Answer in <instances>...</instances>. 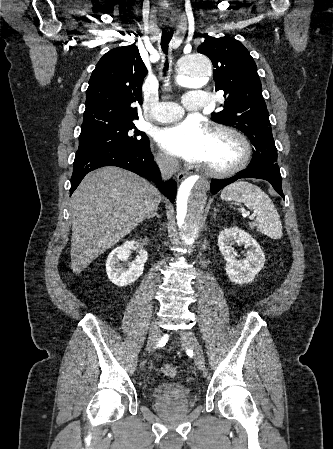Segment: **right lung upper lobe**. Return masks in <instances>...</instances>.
I'll return each mask as SVG.
<instances>
[{"mask_svg": "<svg viewBox=\"0 0 333 449\" xmlns=\"http://www.w3.org/2000/svg\"><path fill=\"white\" fill-rule=\"evenodd\" d=\"M147 69L135 45L114 48L99 60L86 91L82 126L138 118Z\"/></svg>", "mask_w": 333, "mask_h": 449, "instance_id": "obj_1", "label": "right lung upper lobe"}]
</instances>
